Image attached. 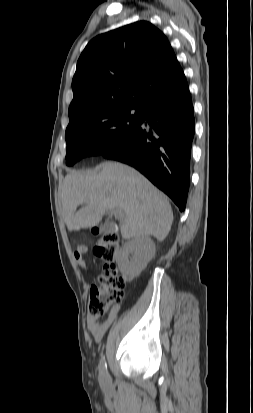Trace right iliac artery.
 Segmentation results:
<instances>
[{
	"mask_svg": "<svg viewBox=\"0 0 253 413\" xmlns=\"http://www.w3.org/2000/svg\"><path fill=\"white\" fill-rule=\"evenodd\" d=\"M99 371L102 376L107 375V364L104 357L100 360Z\"/></svg>",
	"mask_w": 253,
	"mask_h": 413,
	"instance_id": "obj_1",
	"label": "right iliac artery"
}]
</instances>
